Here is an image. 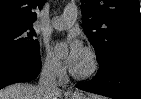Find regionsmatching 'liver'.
Wrapping results in <instances>:
<instances>
[{
    "instance_id": "obj_1",
    "label": "liver",
    "mask_w": 141,
    "mask_h": 99,
    "mask_svg": "<svg viewBox=\"0 0 141 99\" xmlns=\"http://www.w3.org/2000/svg\"><path fill=\"white\" fill-rule=\"evenodd\" d=\"M61 96L59 89L45 92L28 83H15L0 90V99H58Z\"/></svg>"
}]
</instances>
